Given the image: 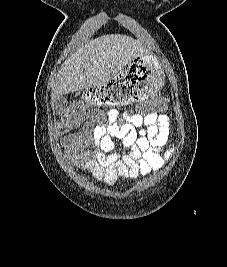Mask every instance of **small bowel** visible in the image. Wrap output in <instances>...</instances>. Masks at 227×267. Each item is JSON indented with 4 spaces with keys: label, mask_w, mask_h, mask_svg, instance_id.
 I'll return each instance as SVG.
<instances>
[{
    "label": "small bowel",
    "mask_w": 227,
    "mask_h": 267,
    "mask_svg": "<svg viewBox=\"0 0 227 267\" xmlns=\"http://www.w3.org/2000/svg\"><path fill=\"white\" fill-rule=\"evenodd\" d=\"M170 135L171 123L165 114L140 115L111 108L105 122L71 131L62 145L75 167L111 187L120 178L147 177L160 170L173 153L168 148ZM114 138L121 140L125 152H112Z\"/></svg>",
    "instance_id": "1"
}]
</instances>
